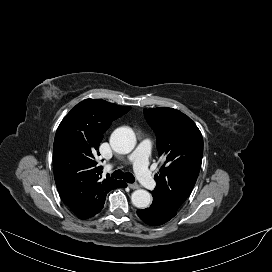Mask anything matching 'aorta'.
Instances as JSON below:
<instances>
[{"label": "aorta", "mask_w": 272, "mask_h": 272, "mask_svg": "<svg viewBox=\"0 0 272 272\" xmlns=\"http://www.w3.org/2000/svg\"><path fill=\"white\" fill-rule=\"evenodd\" d=\"M136 144V136L130 127H119L110 136L112 149L119 154L130 153ZM132 204L140 209L147 208L151 202V195L148 191L138 189L131 195Z\"/></svg>", "instance_id": "aorta-1"}]
</instances>
